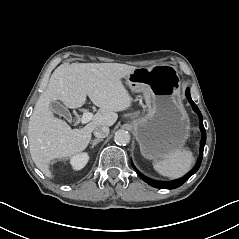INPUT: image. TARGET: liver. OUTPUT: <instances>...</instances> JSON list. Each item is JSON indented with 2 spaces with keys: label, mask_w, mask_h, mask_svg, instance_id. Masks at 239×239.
Here are the masks:
<instances>
[{
  "label": "liver",
  "mask_w": 239,
  "mask_h": 239,
  "mask_svg": "<svg viewBox=\"0 0 239 239\" xmlns=\"http://www.w3.org/2000/svg\"><path fill=\"white\" fill-rule=\"evenodd\" d=\"M123 63H64L50 77L29 119L30 154L36 167L50 180L56 177L51 166L80 156L92 141L99 126H113L117 112L133 107V96L123 79L136 70ZM86 96L99 107L92 120L80 129H71L63 119L55 117L52 101H61L71 110L80 109Z\"/></svg>",
  "instance_id": "6515ba94"
}]
</instances>
